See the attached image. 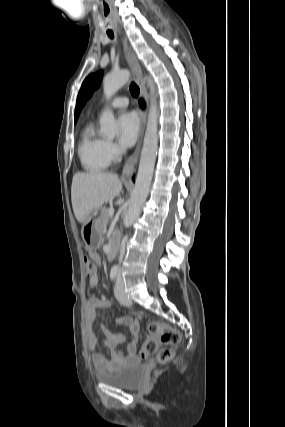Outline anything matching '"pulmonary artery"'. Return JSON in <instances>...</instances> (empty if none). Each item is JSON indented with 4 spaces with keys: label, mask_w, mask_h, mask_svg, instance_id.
Listing matches in <instances>:
<instances>
[{
    "label": "pulmonary artery",
    "mask_w": 285,
    "mask_h": 427,
    "mask_svg": "<svg viewBox=\"0 0 285 427\" xmlns=\"http://www.w3.org/2000/svg\"><path fill=\"white\" fill-rule=\"evenodd\" d=\"M128 98L125 96H117L110 103L111 108H124L128 105Z\"/></svg>",
    "instance_id": "pulmonary-artery-1"
}]
</instances>
